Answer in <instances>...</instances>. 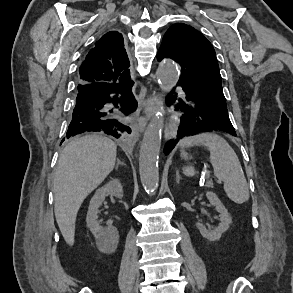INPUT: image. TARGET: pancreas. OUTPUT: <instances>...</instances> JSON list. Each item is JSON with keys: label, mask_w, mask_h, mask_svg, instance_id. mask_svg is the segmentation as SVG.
<instances>
[{"label": "pancreas", "mask_w": 293, "mask_h": 293, "mask_svg": "<svg viewBox=\"0 0 293 293\" xmlns=\"http://www.w3.org/2000/svg\"><path fill=\"white\" fill-rule=\"evenodd\" d=\"M206 186L209 187V188H213V183L212 182H208Z\"/></svg>", "instance_id": "cf45deb5"}]
</instances>
